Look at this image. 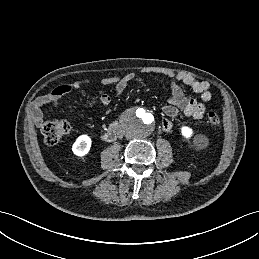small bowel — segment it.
Wrapping results in <instances>:
<instances>
[{
  "label": "small bowel",
  "mask_w": 259,
  "mask_h": 259,
  "mask_svg": "<svg viewBox=\"0 0 259 259\" xmlns=\"http://www.w3.org/2000/svg\"><path fill=\"white\" fill-rule=\"evenodd\" d=\"M163 73L169 78L171 88V95L163 107L165 118L161 121V128L165 132L171 131L173 123L171 118H175L179 111L187 117L195 120L201 119L206 111L205 102L212 98L210 92V84L207 81H199L189 73H173V72H158ZM134 73H126L123 76H112L101 80L102 85H113L115 93L121 94L127 85L134 79ZM91 81L89 79H82L73 82L72 84L60 85L50 91L48 94L38 97L32 104L31 116L37 126H41L44 122L43 109L46 106H57L60 99L70 93L73 89H79ZM190 87L195 93L199 94L201 101L189 98L185 95L182 86ZM99 100L103 105H108L111 102V96L107 93H101Z\"/></svg>",
  "instance_id": "c3829d8e"
}]
</instances>
